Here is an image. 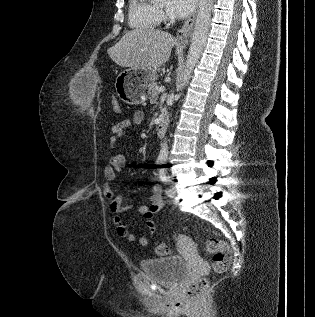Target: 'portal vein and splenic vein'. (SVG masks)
<instances>
[{
    "label": "portal vein and splenic vein",
    "mask_w": 315,
    "mask_h": 317,
    "mask_svg": "<svg viewBox=\"0 0 315 317\" xmlns=\"http://www.w3.org/2000/svg\"><path fill=\"white\" fill-rule=\"evenodd\" d=\"M164 90H165L164 87H161V88L159 89L160 92H164Z\"/></svg>",
    "instance_id": "18ae733b"
}]
</instances>
